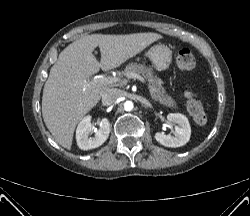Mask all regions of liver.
Masks as SVG:
<instances>
[{"mask_svg":"<svg viewBox=\"0 0 250 216\" xmlns=\"http://www.w3.org/2000/svg\"><path fill=\"white\" fill-rule=\"evenodd\" d=\"M161 38L157 33L91 34L67 46L52 66L42 96V116L56 142L70 149L76 125L108 90L107 86L84 87L90 76L100 68L119 67ZM96 47L101 52L100 63L93 55Z\"/></svg>","mask_w":250,"mask_h":216,"instance_id":"liver-1","label":"liver"}]
</instances>
